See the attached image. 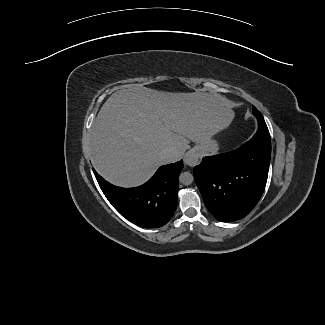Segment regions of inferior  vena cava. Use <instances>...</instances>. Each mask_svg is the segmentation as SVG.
<instances>
[{"label": "inferior vena cava", "mask_w": 325, "mask_h": 325, "mask_svg": "<svg viewBox=\"0 0 325 325\" xmlns=\"http://www.w3.org/2000/svg\"><path fill=\"white\" fill-rule=\"evenodd\" d=\"M161 158L164 162H172L175 158V154L171 149H165L161 153Z\"/></svg>", "instance_id": "1"}]
</instances>
